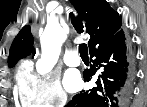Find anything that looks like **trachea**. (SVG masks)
<instances>
[{
    "instance_id": "obj_1",
    "label": "trachea",
    "mask_w": 147,
    "mask_h": 107,
    "mask_svg": "<svg viewBox=\"0 0 147 107\" xmlns=\"http://www.w3.org/2000/svg\"><path fill=\"white\" fill-rule=\"evenodd\" d=\"M71 23L78 33L83 32V23L81 18H76L73 13H70ZM79 53L81 57H88V47L85 43L79 45Z\"/></svg>"
}]
</instances>
